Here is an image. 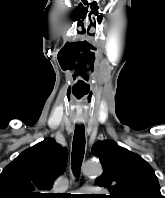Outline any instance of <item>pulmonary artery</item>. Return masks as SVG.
Segmentation results:
<instances>
[{
    "mask_svg": "<svg viewBox=\"0 0 165 198\" xmlns=\"http://www.w3.org/2000/svg\"><path fill=\"white\" fill-rule=\"evenodd\" d=\"M94 190H97V188L94 187V186H83V187L81 188V191H83V192H85V193H88V192L94 191Z\"/></svg>",
    "mask_w": 165,
    "mask_h": 198,
    "instance_id": "e3ab8cb5",
    "label": "pulmonary artery"
}]
</instances>
